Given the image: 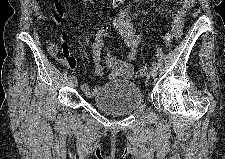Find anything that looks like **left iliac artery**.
Wrapping results in <instances>:
<instances>
[{
	"instance_id": "44dca946",
	"label": "left iliac artery",
	"mask_w": 225,
	"mask_h": 159,
	"mask_svg": "<svg viewBox=\"0 0 225 159\" xmlns=\"http://www.w3.org/2000/svg\"><path fill=\"white\" fill-rule=\"evenodd\" d=\"M152 66L155 67V68H158V63L156 61H153Z\"/></svg>"
}]
</instances>
